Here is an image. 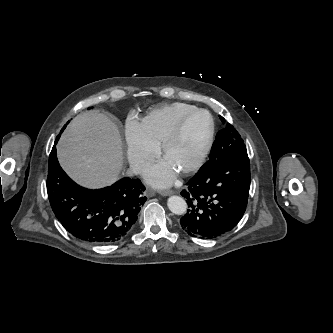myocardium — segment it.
<instances>
[{
  "mask_svg": "<svg viewBox=\"0 0 333 333\" xmlns=\"http://www.w3.org/2000/svg\"><path fill=\"white\" fill-rule=\"evenodd\" d=\"M198 113H205L209 117V120H210L209 130L205 137L204 143H203L197 157L195 158V160L191 164L186 166L185 168L178 171L182 175H187V174H190V173L196 171L197 169H199L202 166V164L206 160V158L211 150L213 140H214V135H215L216 125H215V120H214L213 115L210 113V111H208L207 109H204V108H195L191 111H188L187 113H185L184 115H182L180 117V119L177 121L175 126L172 128V130L169 132V134L167 135V137L165 138V140L162 143V147H161L162 155L164 158H166L171 147L180 139L183 128H184L186 122L188 121V119Z\"/></svg>",
  "mask_w": 333,
  "mask_h": 333,
  "instance_id": "1",
  "label": "myocardium"
}]
</instances>
